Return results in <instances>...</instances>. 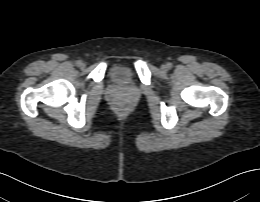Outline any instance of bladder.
Returning a JSON list of instances; mask_svg holds the SVG:
<instances>
[{
    "label": "bladder",
    "instance_id": "bladder-1",
    "mask_svg": "<svg viewBox=\"0 0 260 202\" xmlns=\"http://www.w3.org/2000/svg\"><path fill=\"white\" fill-rule=\"evenodd\" d=\"M109 76L117 85H126L131 81L132 70L125 65H115L110 68Z\"/></svg>",
    "mask_w": 260,
    "mask_h": 202
}]
</instances>
